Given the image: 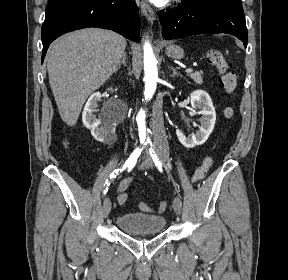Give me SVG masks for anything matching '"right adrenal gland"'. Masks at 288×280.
I'll list each match as a JSON object with an SVG mask.
<instances>
[{
  "instance_id": "right-adrenal-gland-1",
  "label": "right adrenal gland",
  "mask_w": 288,
  "mask_h": 280,
  "mask_svg": "<svg viewBox=\"0 0 288 280\" xmlns=\"http://www.w3.org/2000/svg\"><path fill=\"white\" fill-rule=\"evenodd\" d=\"M126 58H127V55H126V53H124L122 55V59H121L120 63L118 64V66L115 69V72L118 71V69L121 67L122 64L126 67Z\"/></svg>"
}]
</instances>
